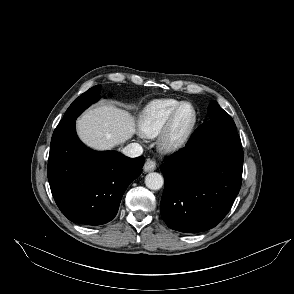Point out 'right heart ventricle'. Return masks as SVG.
I'll use <instances>...</instances> for the list:
<instances>
[{"instance_id":"right-heart-ventricle-1","label":"right heart ventricle","mask_w":294,"mask_h":294,"mask_svg":"<svg viewBox=\"0 0 294 294\" xmlns=\"http://www.w3.org/2000/svg\"><path fill=\"white\" fill-rule=\"evenodd\" d=\"M182 101L163 98L151 101L143 110L139 128L146 137H155L163 129L174 110Z\"/></svg>"}]
</instances>
